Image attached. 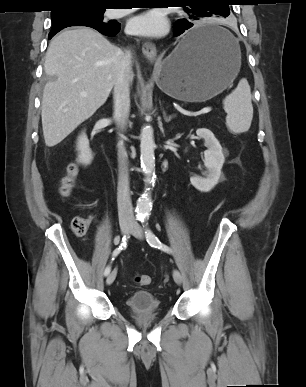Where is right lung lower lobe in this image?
I'll return each mask as SVG.
<instances>
[{"instance_id": "obj_1", "label": "right lung lower lobe", "mask_w": 306, "mask_h": 387, "mask_svg": "<svg viewBox=\"0 0 306 387\" xmlns=\"http://www.w3.org/2000/svg\"><path fill=\"white\" fill-rule=\"evenodd\" d=\"M96 30H98L100 33L106 35V36H115L119 30H120V24H116V25H113L111 27H97V28H94ZM56 34V32H53L51 31L50 32V36H49V39H51L54 35Z\"/></svg>"}]
</instances>
